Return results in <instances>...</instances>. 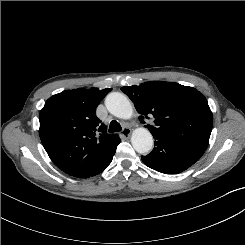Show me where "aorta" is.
<instances>
[{"label": "aorta", "mask_w": 245, "mask_h": 245, "mask_svg": "<svg viewBox=\"0 0 245 245\" xmlns=\"http://www.w3.org/2000/svg\"><path fill=\"white\" fill-rule=\"evenodd\" d=\"M107 110L121 119H129L133 114V108L128 98L119 92H112L105 99ZM132 146L140 154L149 153L153 147L152 134L145 128L134 130L131 137Z\"/></svg>", "instance_id": "1"}]
</instances>
